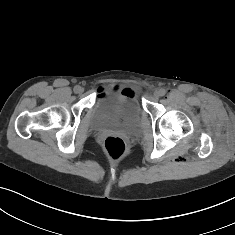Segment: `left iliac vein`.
<instances>
[{
    "label": "left iliac vein",
    "instance_id": "obj_1",
    "mask_svg": "<svg viewBox=\"0 0 235 235\" xmlns=\"http://www.w3.org/2000/svg\"><path fill=\"white\" fill-rule=\"evenodd\" d=\"M160 96H161L160 90H155L154 93H153V97H154L155 99H158Z\"/></svg>",
    "mask_w": 235,
    "mask_h": 235
}]
</instances>
